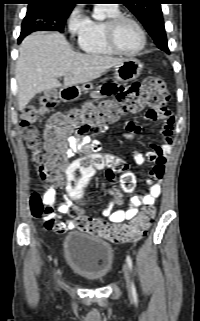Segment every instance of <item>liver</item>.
<instances>
[{"label": "liver", "mask_w": 200, "mask_h": 321, "mask_svg": "<svg viewBox=\"0 0 200 321\" xmlns=\"http://www.w3.org/2000/svg\"><path fill=\"white\" fill-rule=\"evenodd\" d=\"M123 60L74 52L60 33H32L22 41L16 62L18 109H25L36 94L61 87V76L64 87L88 83Z\"/></svg>", "instance_id": "1"}]
</instances>
